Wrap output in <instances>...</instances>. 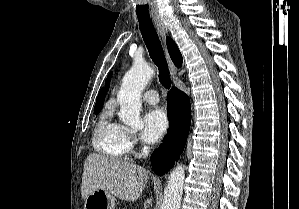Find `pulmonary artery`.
<instances>
[{
    "instance_id": "e3ab8cb5",
    "label": "pulmonary artery",
    "mask_w": 299,
    "mask_h": 209,
    "mask_svg": "<svg viewBox=\"0 0 299 209\" xmlns=\"http://www.w3.org/2000/svg\"><path fill=\"white\" fill-rule=\"evenodd\" d=\"M142 98L149 104H157L160 101L156 90L150 89L143 93Z\"/></svg>"
}]
</instances>
